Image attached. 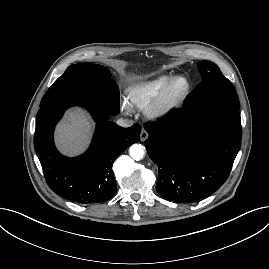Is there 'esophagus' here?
<instances>
[{
  "label": "esophagus",
  "instance_id": "34e87169",
  "mask_svg": "<svg viewBox=\"0 0 269 269\" xmlns=\"http://www.w3.org/2000/svg\"><path fill=\"white\" fill-rule=\"evenodd\" d=\"M147 138H148V132L144 128H142L140 133V140L144 142Z\"/></svg>",
  "mask_w": 269,
  "mask_h": 269
}]
</instances>
